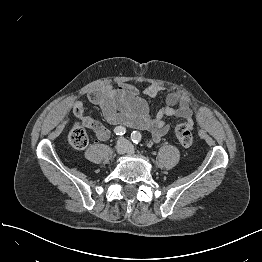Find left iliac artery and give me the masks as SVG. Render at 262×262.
Wrapping results in <instances>:
<instances>
[{"label": "left iliac artery", "instance_id": "left-iliac-artery-1", "mask_svg": "<svg viewBox=\"0 0 262 262\" xmlns=\"http://www.w3.org/2000/svg\"><path fill=\"white\" fill-rule=\"evenodd\" d=\"M141 139H142V136L139 132L137 131H133L131 133V140L135 143V144H138L141 142Z\"/></svg>", "mask_w": 262, "mask_h": 262}]
</instances>
